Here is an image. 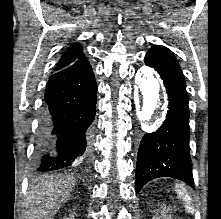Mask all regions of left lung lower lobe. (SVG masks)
<instances>
[{
    "label": "left lung lower lobe",
    "mask_w": 221,
    "mask_h": 219,
    "mask_svg": "<svg viewBox=\"0 0 221 219\" xmlns=\"http://www.w3.org/2000/svg\"><path fill=\"white\" fill-rule=\"evenodd\" d=\"M144 61L161 76L169 110L161 127L142 138L137 155L136 192L159 177L176 178L194 187L189 152L188 95L182 70L174 54L164 46H153Z\"/></svg>",
    "instance_id": "left-lung-lower-lobe-1"
}]
</instances>
